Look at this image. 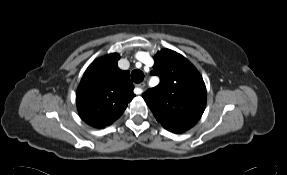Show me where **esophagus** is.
Masks as SVG:
<instances>
[{
  "mask_svg": "<svg viewBox=\"0 0 287 175\" xmlns=\"http://www.w3.org/2000/svg\"><path fill=\"white\" fill-rule=\"evenodd\" d=\"M136 87H137V89H138V94H142L143 89H144V87H145V83H144V82L139 83V84L136 85Z\"/></svg>",
  "mask_w": 287,
  "mask_h": 175,
  "instance_id": "obj_1",
  "label": "esophagus"
}]
</instances>
